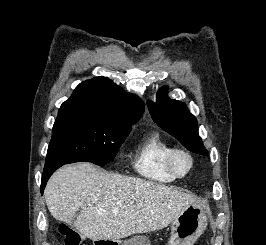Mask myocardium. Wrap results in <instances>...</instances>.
Returning a JSON list of instances; mask_svg holds the SVG:
<instances>
[{"mask_svg":"<svg viewBox=\"0 0 266 245\" xmlns=\"http://www.w3.org/2000/svg\"><path fill=\"white\" fill-rule=\"evenodd\" d=\"M179 156H185L189 160V168L184 174H180L177 171L176 160ZM167 164H168L169 170L176 178L183 179V178L188 177L192 173L195 167V158H194L193 153L190 150L183 148V147H174L170 150L168 154Z\"/></svg>","mask_w":266,"mask_h":245,"instance_id":"myocardium-1","label":"myocardium"}]
</instances>
